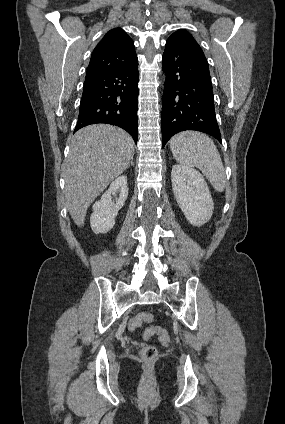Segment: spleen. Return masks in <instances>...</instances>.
Returning a JSON list of instances; mask_svg holds the SVG:
<instances>
[{
  "mask_svg": "<svg viewBox=\"0 0 285 424\" xmlns=\"http://www.w3.org/2000/svg\"><path fill=\"white\" fill-rule=\"evenodd\" d=\"M170 149L177 162L199 168L216 191L226 187V174L219 151L212 139L195 131H185L170 140Z\"/></svg>",
  "mask_w": 285,
  "mask_h": 424,
  "instance_id": "obj_1",
  "label": "spleen"
}]
</instances>
